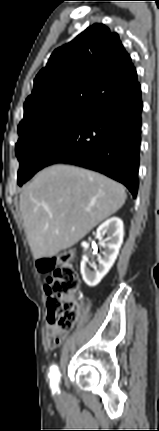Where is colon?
Instances as JSON below:
<instances>
[{
	"mask_svg": "<svg viewBox=\"0 0 159 431\" xmlns=\"http://www.w3.org/2000/svg\"><path fill=\"white\" fill-rule=\"evenodd\" d=\"M40 272L51 273L45 283L48 317L63 330H70L78 317L79 309L73 293L79 287V277L69 252L38 260Z\"/></svg>",
	"mask_w": 159,
	"mask_h": 431,
	"instance_id": "colon-1",
	"label": "colon"
}]
</instances>
